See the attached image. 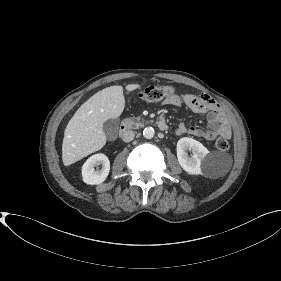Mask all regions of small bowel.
<instances>
[{"instance_id": "1", "label": "small bowel", "mask_w": 281, "mask_h": 281, "mask_svg": "<svg viewBox=\"0 0 281 281\" xmlns=\"http://www.w3.org/2000/svg\"><path fill=\"white\" fill-rule=\"evenodd\" d=\"M164 104L170 106H187L197 114H207L209 127L202 129L196 126L179 124L175 130L176 135L190 134L206 140H213L217 136L231 138V128L226 115L217 102L208 95L195 94H171L164 100Z\"/></svg>"}]
</instances>
